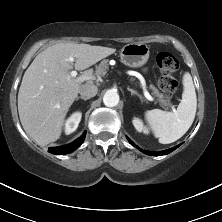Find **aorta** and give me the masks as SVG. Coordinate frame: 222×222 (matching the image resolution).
I'll return each mask as SVG.
<instances>
[{
  "label": "aorta",
  "mask_w": 222,
  "mask_h": 222,
  "mask_svg": "<svg viewBox=\"0 0 222 222\" xmlns=\"http://www.w3.org/2000/svg\"><path fill=\"white\" fill-rule=\"evenodd\" d=\"M103 103L107 107H115L119 103V95L114 90H108L103 96Z\"/></svg>",
  "instance_id": "762f6f07"
}]
</instances>
